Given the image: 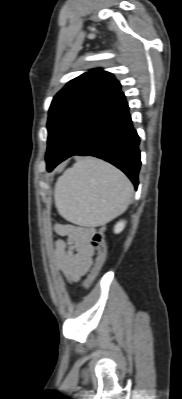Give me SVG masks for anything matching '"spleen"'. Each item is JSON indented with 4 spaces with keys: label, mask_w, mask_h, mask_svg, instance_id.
Masks as SVG:
<instances>
[{
    "label": "spleen",
    "mask_w": 182,
    "mask_h": 399,
    "mask_svg": "<svg viewBox=\"0 0 182 399\" xmlns=\"http://www.w3.org/2000/svg\"><path fill=\"white\" fill-rule=\"evenodd\" d=\"M133 186L120 170L96 158L77 161L58 178L55 206L77 225L99 226L123 213L131 202Z\"/></svg>",
    "instance_id": "obj_1"
}]
</instances>
